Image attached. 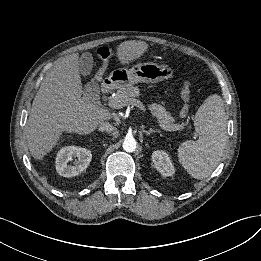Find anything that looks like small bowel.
<instances>
[{"label":"small bowel","instance_id":"1","mask_svg":"<svg viewBox=\"0 0 261 261\" xmlns=\"http://www.w3.org/2000/svg\"><path fill=\"white\" fill-rule=\"evenodd\" d=\"M189 100H190V96H184L182 95V101H183V109L188 112L189 109Z\"/></svg>","mask_w":261,"mask_h":261}]
</instances>
